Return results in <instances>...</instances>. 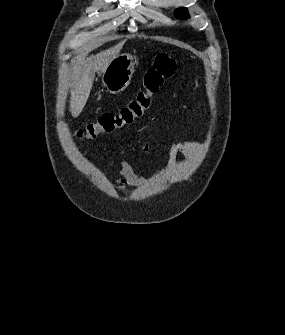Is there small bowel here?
Segmentation results:
<instances>
[{
    "label": "small bowel",
    "instance_id": "c3829d8e",
    "mask_svg": "<svg viewBox=\"0 0 285 335\" xmlns=\"http://www.w3.org/2000/svg\"><path fill=\"white\" fill-rule=\"evenodd\" d=\"M153 148V143L150 139H146L138 146H133L132 149H141L145 152H150ZM198 148V145L194 141L183 140L178 143L170 145L167 152L168 164L178 154H182L186 157L192 158L195 155V152ZM119 170L122 176V179L118 182L120 188L125 189L127 187L136 188L142 183V177L137 170H135L128 162L125 160L119 161Z\"/></svg>",
    "mask_w": 285,
    "mask_h": 335
}]
</instances>
